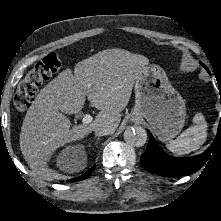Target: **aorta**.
<instances>
[{
  "mask_svg": "<svg viewBox=\"0 0 221 221\" xmlns=\"http://www.w3.org/2000/svg\"><path fill=\"white\" fill-rule=\"evenodd\" d=\"M124 140L132 146H143L147 140L146 130L141 126L128 127L124 131Z\"/></svg>",
  "mask_w": 221,
  "mask_h": 221,
  "instance_id": "1",
  "label": "aorta"
}]
</instances>
